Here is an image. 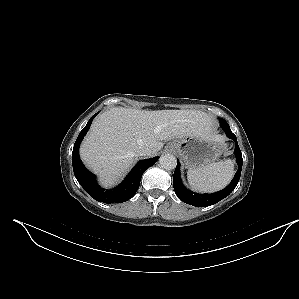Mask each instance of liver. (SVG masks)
Instances as JSON below:
<instances>
[{"label": "liver", "mask_w": 299, "mask_h": 299, "mask_svg": "<svg viewBox=\"0 0 299 299\" xmlns=\"http://www.w3.org/2000/svg\"><path fill=\"white\" fill-rule=\"evenodd\" d=\"M211 126V118L202 111L114 107L93 122L81 144L80 156L107 187L131 167L141 148H149V156H153L163 148L162 141L206 135Z\"/></svg>", "instance_id": "1"}]
</instances>
